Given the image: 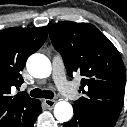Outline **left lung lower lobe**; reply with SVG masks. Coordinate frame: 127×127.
I'll return each mask as SVG.
<instances>
[{
  "instance_id": "0a47b994",
  "label": "left lung lower lobe",
  "mask_w": 127,
  "mask_h": 127,
  "mask_svg": "<svg viewBox=\"0 0 127 127\" xmlns=\"http://www.w3.org/2000/svg\"><path fill=\"white\" fill-rule=\"evenodd\" d=\"M115 123L95 118L79 108L74 107V117L63 127H113Z\"/></svg>"
}]
</instances>
